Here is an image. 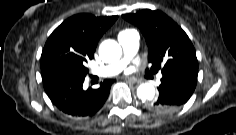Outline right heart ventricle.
<instances>
[{
    "label": "right heart ventricle",
    "instance_id": "right-heart-ventricle-1",
    "mask_svg": "<svg viewBox=\"0 0 236 135\" xmlns=\"http://www.w3.org/2000/svg\"><path fill=\"white\" fill-rule=\"evenodd\" d=\"M133 32H135L134 30H131V29H124V30H122L120 33H119V35L120 34H129V33H133Z\"/></svg>",
    "mask_w": 236,
    "mask_h": 135
}]
</instances>
